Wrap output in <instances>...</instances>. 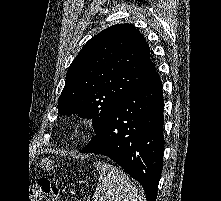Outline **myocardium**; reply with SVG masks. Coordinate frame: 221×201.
Segmentation results:
<instances>
[{"instance_id":"f54148a6","label":"myocardium","mask_w":221,"mask_h":201,"mask_svg":"<svg viewBox=\"0 0 221 201\" xmlns=\"http://www.w3.org/2000/svg\"><path fill=\"white\" fill-rule=\"evenodd\" d=\"M89 130V124L86 120L84 119H79L77 120L74 125H73V132L76 135H85Z\"/></svg>"}]
</instances>
